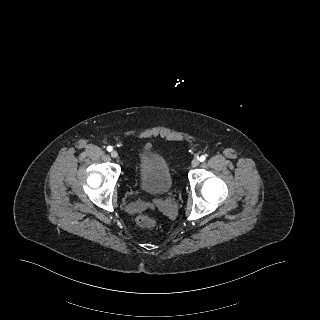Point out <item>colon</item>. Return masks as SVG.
Wrapping results in <instances>:
<instances>
[{"label":"colon","instance_id":"1","mask_svg":"<svg viewBox=\"0 0 320 320\" xmlns=\"http://www.w3.org/2000/svg\"><path fill=\"white\" fill-rule=\"evenodd\" d=\"M136 223L142 228H153L156 225L155 220L147 215H139Z\"/></svg>","mask_w":320,"mask_h":320}]
</instances>
